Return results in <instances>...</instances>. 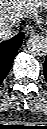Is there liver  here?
<instances>
[{
  "label": "liver",
  "instance_id": "1",
  "mask_svg": "<svg viewBox=\"0 0 47 129\" xmlns=\"http://www.w3.org/2000/svg\"><path fill=\"white\" fill-rule=\"evenodd\" d=\"M44 0H0L1 26H16L24 17L37 13Z\"/></svg>",
  "mask_w": 47,
  "mask_h": 129
}]
</instances>
